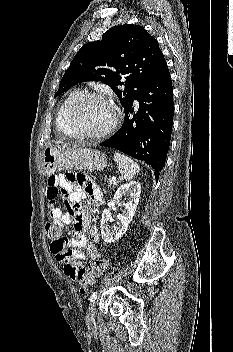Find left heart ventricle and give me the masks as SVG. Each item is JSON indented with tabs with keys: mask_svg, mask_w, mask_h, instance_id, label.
<instances>
[{
	"mask_svg": "<svg viewBox=\"0 0 233 352\" xmlns=\"http://www.w3.org/2000/svg\"><path fill=\"white\" fill-rule=\"evenodd\" d=\"M113 118L112 108L100 99L84 100L76 109L74 124L78 131L96 133L105 129Z\"/></svg>",
	"mask_w": 233,
	"mask_h": 352,
	"instance_id": "1",
	"label": "left heart ventricle"
}]
</instances>
